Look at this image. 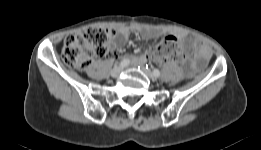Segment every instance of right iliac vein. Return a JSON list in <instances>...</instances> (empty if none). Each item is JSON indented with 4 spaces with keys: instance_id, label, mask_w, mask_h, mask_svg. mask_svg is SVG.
<instances>
[{
    "instance_id": "63e3f726",
    "label": "right iliac vein",
    "mask_w": 261,
    "mask_h": 150,
    "mask_svg": "<svg viewBox=\"0 0 261 150\" xmlns=\"http://www.w3.org/2000/svg\"><path fill=\"white\" fill-rule=\"evenodd\" d=\"M123 68L121 66H116L112 69L111 71V76L116 78L120 75V73L122 72Z\"/></svg>"
}]
</instances>
